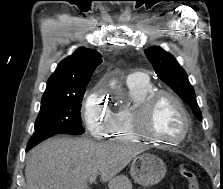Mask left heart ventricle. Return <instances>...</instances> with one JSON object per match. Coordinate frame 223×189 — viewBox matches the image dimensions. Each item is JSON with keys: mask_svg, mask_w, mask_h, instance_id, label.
Returning a JSON list of instances; mask_svg holds the SVG:
<instances>
[{"mask_svg": "<svg viewBox=\"0 0 223 189\" xmlns=\"http://www.w3.org/2000/svg\"><path fill=\"white\" fill-rule=\"evenodd\" d=\"M183 129V116L177 106L169 98L160 99L152 111L149 132L167 140H175L181 136Z\"/></svg>", "mask_w": 223, "mask_h": 189, "instance_id": "b2bd125f", "label": "left heart ventricle"}]
</instances>
